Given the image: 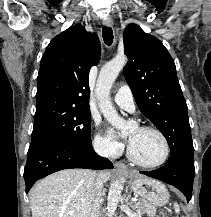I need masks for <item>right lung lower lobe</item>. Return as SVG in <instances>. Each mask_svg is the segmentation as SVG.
Segmentation results:
<instances>
[{
    "label": "right lung lower lobe",
    "instance_id": "98d812e1",
    "mask_svg": "<svg viewBox=\"0 0 211 217\" xmlns=\"http://www.w3.org/2000/svg\"><path fill=\"white\" fill-rule=\"evenodd\" d=\"M69 168L112 169V163L98 156L92 145L79 148L56 140L31 141L24 169L26 193L49 174Z\"/></svg>",
    "mask_w": 211,
    "mask_h": 217
}]
</instances>
